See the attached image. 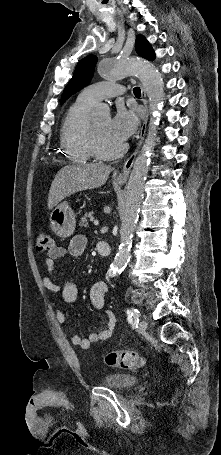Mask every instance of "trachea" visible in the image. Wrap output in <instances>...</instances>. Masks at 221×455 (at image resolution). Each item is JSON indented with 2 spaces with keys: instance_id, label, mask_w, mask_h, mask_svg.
Wrapping results in <instances>:
<instances>
[{
  "instance_id": "3493384b",
  "label": "trachea",
  "mask_w": 221,
  "mask_h": 455,
  "mask_svg": "<svg viewBox=\"0 0 221 455\" xmlns=\"http://www.w3.org/2000/svg\"><path fill=\"white\" fill-rule=\"evenodd\" d=\"M133 93H134L135 96H140V95H141V90H140V88H139V87H135V88L133 89Z\"/></svg>"
}]
</instances>
